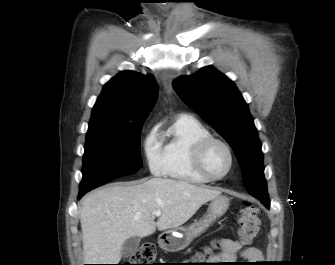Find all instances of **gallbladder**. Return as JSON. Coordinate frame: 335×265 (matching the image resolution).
<instances>
[{"instance_id": "1", "label": "gallbladder", "mask_w": 335, "mask_h": 265, "mask_svg": "<svg viewBox=\"0 0 335 265\" xmlns=\"http://www.w3.org/2000/svg\"><path fill=\"white\" fill-rule=\"evenodd\" d=\"M139 244L140 239L138 237H130L122 246L121 256L123 258L131 257L137 251Z\"/></svg>"}]
</instances>
